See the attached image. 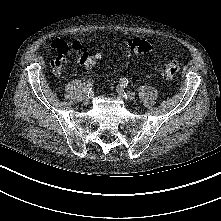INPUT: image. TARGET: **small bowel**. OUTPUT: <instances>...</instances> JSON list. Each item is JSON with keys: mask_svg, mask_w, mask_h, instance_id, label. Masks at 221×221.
<instances>
[{"mask_svg": "<svg viewBox=\"0 0 221 221\" xmlns=\"http://www.w3.org/2000/svg\"><path fill=\"white\" fill-rule=\"evenodd\" d=\"M51 46L58 52L57 57L52 61V69L55 75H60L63 65L67 62L66 55L70 51L83 55L87 53V48L81 42L68 43L61 39H56Z\"/></svg>", "mask_w": 221, "mask_h": 221, "instance_id": "small-bowel-1", "label": "small bowel"}]
</instances>
